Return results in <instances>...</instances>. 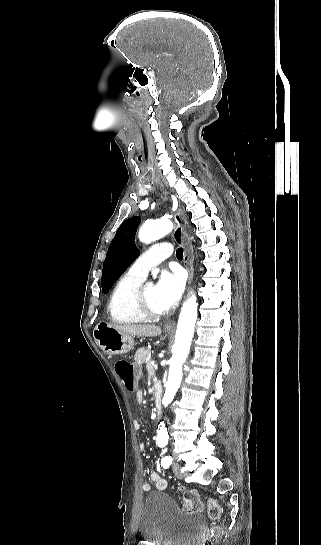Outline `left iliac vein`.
Instances as JSON below:
<instances>
[{
    "instance_id": "left-iliac-vein-1",
    "label": "left iliac vein",
    "mask_w": 321,
    "mask_h": 545,
    "mask_svg": "<svg viewBox=\"0 0 321 545\" xmlns=\"http://www.w3.org/2000/svg\"><path fill=\"white\" fill-rule=\"evenodd\" d=\"M172 469H173L174 475L177 478L181 479L182 478L181 466L178 463H173Z\"/></svg>"
}]
</instances>
